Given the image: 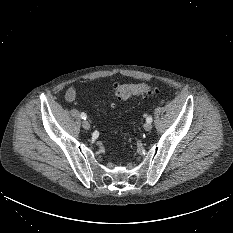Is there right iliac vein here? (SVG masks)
<instances>
[{
  "instance_id": "1",
  "label": "right iliac vein",
  "mask_w": 233,
  "mask_h": 233,
  "mask_svg": "<svg viewBox=\"0 0 233 233\" xmlns=\"http://www.w3.org/2000/svg\"><path fill=\"white\" fill-rule=\"evenodd\" d=\"M82 126L85 130H89L90 129V123L87 120H84L82 122Z\"/></svg>"
}]
</instances>
